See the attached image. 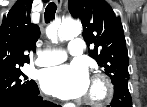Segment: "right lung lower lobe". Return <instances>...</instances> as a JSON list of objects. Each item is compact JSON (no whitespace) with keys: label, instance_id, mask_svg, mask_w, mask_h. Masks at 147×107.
I'll return each instance as SVG.
<instances>
[{"label":"right lung lower lobe","instance_id":"98d812e1","mask_svg":"<svg viewBox=\"0 0 147 107\" xmlns=\"http://www.w3.org/2000/svg\"><path fill=\"white\" fill-rule=\"evenodd\" d=\"M39 89L14 96L2 103L0 107H57L49 101H44L39 95Z\"/></svg>","mask_w":147,"mask_h":107}]
</instances>
